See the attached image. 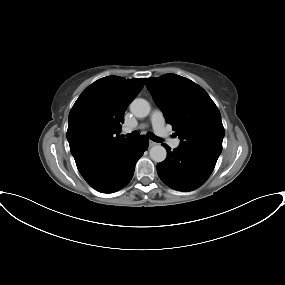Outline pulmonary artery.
Instances as JSON below:
<instances>
[{"instance_id": "e3ab8cb5", "label": "pulmonary artery", "mask_w": 285, "mask_h": 285, "mask_svg": "<svg viewBox=\"0 0 285 285\" xmlns=\"http://www.w3.org/2000/svg\"><path fill=\"white\" fill-rule=\"evenodd\" d=\"M150 122L155 133L162 138L170 147L178 148L180 145V140L170 136L169 131L165 126L164 116L161 111L154 110L150 117ZM130 129H126L129 132Z\"/></svg>"}]
</instances>
